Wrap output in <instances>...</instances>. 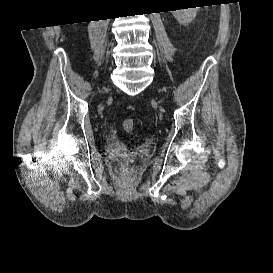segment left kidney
Returning <instances> with one entry per match:
<instances>
[{
	"instance_id": "left-kidney-1",
	"label": "left kidney",
	"mask_w": 273,
	"mask_h": 273,
	"mask_svg": "<svg viewBox=\"0 0 273 273\" xmlns=\"http://www.w3.org/2000/svg\"><path fill=\"white\" fill-rule=\"evenodd\" d=\"M175 19L181 25L190 24L196 17L197 8H188V9H180L171 11Z\"/></svg>"
}]
</instances>
